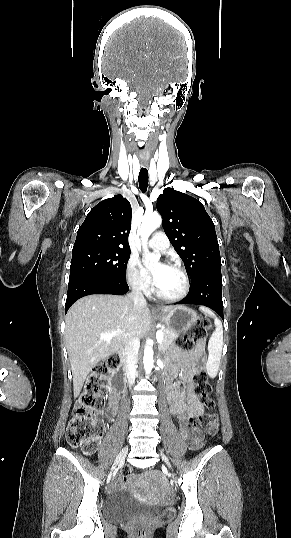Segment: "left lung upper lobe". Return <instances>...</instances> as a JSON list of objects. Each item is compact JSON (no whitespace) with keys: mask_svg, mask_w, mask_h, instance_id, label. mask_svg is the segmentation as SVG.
<instances>
[{"mask_svg":"<svg viewBox=\"0 0 291 538\" xmlns=\"http://www.w3.org/2000/svg\"><path fill=\"white\" fill-rule=\"evenodd\" d=\"M157 210L191 282L205 273L221 270L215 225L199 200L169 187L158 197Z\"/></svg>","mask_w":291,"mask_h":538,"instance_id":"1","label":"left lung upper lobe"}]
</instances>
